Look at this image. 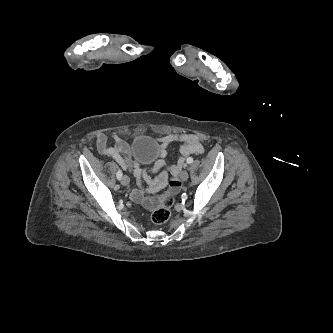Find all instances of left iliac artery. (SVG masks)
I'll return each instance as SVG.
<instances>
[{
  "instance_id": "left-iliac-artery-1",
  "label": "left iliac artery",
  "mask_w": 333,
  "mask_h": 333,
  "mask_svg": "<svg viewBox=\"0 0 333 333\" xmlns=\"http://www.w3.org/2000/svg\"><path fill=\"white\" fill-rule=\"evenodd\" d=\"M192 162H193V159L191 157L187 159L188 164H191Z\"/></svg>"
}]
</instances>
